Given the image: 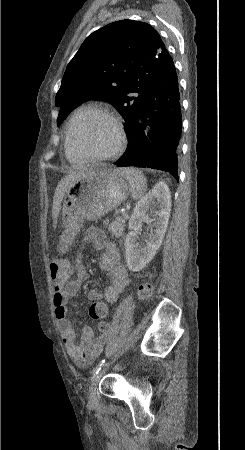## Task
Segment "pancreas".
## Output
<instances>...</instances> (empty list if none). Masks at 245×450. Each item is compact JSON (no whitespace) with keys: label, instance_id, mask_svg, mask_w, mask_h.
<instances>
[{"label":"pancreas","instance_id":"1","mask_svg":"<svg viewBox=\"0 0 245 450\" xmlns=\"http://www.w3.org/2000/svg\"><path fill=\"white\" fill-rule=\"evenodd\" d=\"M126 218L123 216L117 217L111 224H109L108 230L112 236L120 237L125 227Z\"/></svg>","mask_w":245,"mask_h":450}]
</instances>
